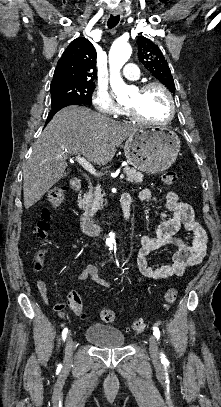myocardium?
I'll use <instances>...</instances> for the list:
<instances>
[{"label": "myocardium", "mask_w": 221, "mask_h": 407, "mask_svg": "<svg viewBox=\"0 0 221 407\" xmlns=\"http://www.w3.org/2000/svg\"><path fill=\"white\" fill-rule=\"evenodd\" d=\"M151 88H158L165 93L168 103H169V113H168L167 118H165L164 120H161V121L148 120V119L144 118L139 113L137 108H135V107L126 106L125 111L131 118H133L137 122H140L143 124H148V125H166L172 121V119L174 118V115H175V111H176V105H175L173 95H172L171 91L165 85H163L159 82H148V83L142 84L138 88V91L140 94H145Z\"/></svg>", "instance_id": "f54148a6"}]
</instances>
